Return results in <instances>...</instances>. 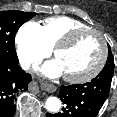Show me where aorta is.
<instances>
[{
    "label": "aorta",
    "instance_id": "aorta-1",
    "mask_svg": "<svg viewBox=\"0 0 117 117\" xmlns=\"http://www.w3.org/2000/svg\"><path fill=\"white\" fill-rule=\"evenodd\" d=\"M45 108L52 113H56L61 108V101L57 97H49L45 102Z\"/></svg>",
    "mask_w": 117,
    "mask_h": 117
}]
</instances>
